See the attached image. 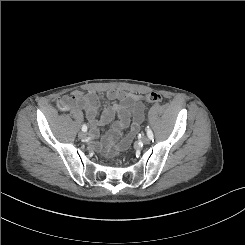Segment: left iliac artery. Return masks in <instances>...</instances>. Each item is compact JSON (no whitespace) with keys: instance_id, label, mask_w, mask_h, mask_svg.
<instances>
[{"instance_id":"44dca946","label":"left iliac artery","mask_w":245,"mask_h":245,"mask_svg":"<svg viewBox=\"0 0 245 245\" xmlns=\"http://www.w3.org/2000/svg\"><path fill=\"white\" fill-rule=\"evenodd\" d=\"M146 131H147V136H148L150 139H153V133H152L151 129H150L148 126H147Z\"/></svg>"}]
</instances>
